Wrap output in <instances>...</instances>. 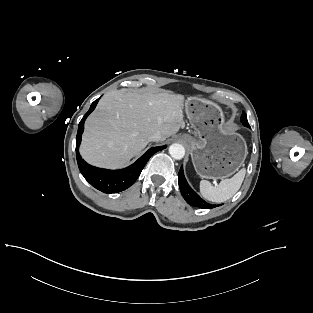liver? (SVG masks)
<instances>
[{
  "mask_svg": "<svg viewBox=\"0 0 313 313\" xmlns=\"http://www.w3.org/2000/svg\"><path fill=\"white\" fill-rule=\"evenodd\" d=\"M184 96L168 92L113 90L85 123L80 153L90 164L118 168L139 154L160 132L161 141L184 125Z\"/></svg>",
  "mask_w": 313,
  "mask_h": 313,
  "instance_id": "1",
  "label": "liver"
}]
</instances>
